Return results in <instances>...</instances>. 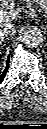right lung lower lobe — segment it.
<instances>
[{
    "mask_svg": "<svg viewBox=\"0 0 47 129\" xmlns=\"http://www.w3.org/2000/svg\"><path fill=\"white\" fill-rule=\"evenodd\" d=\"M8 68H9V59L7 61V66L5 68V70L3 71V73L0 75V83L3 81V79L5 78V74L6 72L8 71Z\"/></svg>",
    "mask_w": 47,
    "mask_h": 129,
    "instance_id": "1",
    "label": "right lung lower lobe"
}]
</instances>
